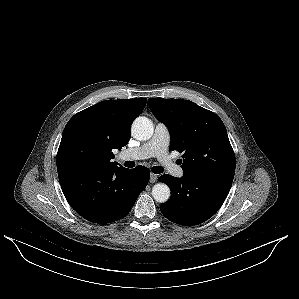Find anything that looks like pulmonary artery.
I'll return each instance as SVG.
<instances>
[{
	"instance_id": "1",
	"label": "pulmonary artery",
	"mask_w": 299,
	"mask_h": 299,
	"mask_svg": "<svg viewBox=\"0 0 299 299\" xmlns=\"http://www.w3.org/2000/svg\"><path fill=\"white\" fill-rule=\"evenodd\" d=\"M169 143L170 133L167 126L158 122L155 125L152 137L139 147L124 151L123 157L134 160L155 157L172 175L181 178L184 175V171L169 157Z\"/></svg>"
}]
</instances>
